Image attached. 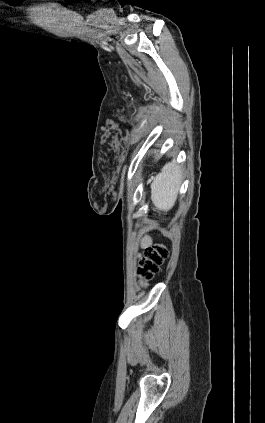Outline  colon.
Masks as SVG:
<instances>
[{
  "instance_id": "5ec220e1",
  "label": "colon",
  "mask_w": 265,
  "mask_h": 423,
  "mask_svg": "<svg viewBox=\"0 0 265 423\" xmlns=\"http://www.w3.org/2000/svg\"><path fill=\"white\" fill-rule=\"evenodd\" d=\"M169 257V249L162 243L148 247L140 259L137 276L143 285H146L159 271L160 266Z\"/></svg>"
}]
</instances>
